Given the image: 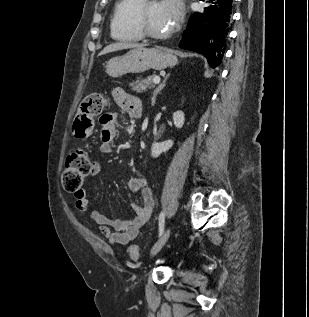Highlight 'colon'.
<instances>
[{
    "label": "colon",
    "mask_w": 309,
    "mask_h": 317,
    "mask_svg": "<svg viewBox=\"0 0 309 317\" xmlns=\"http://www.w3.org/2000/svg\"><path fill=\"white\" fill-rule=\"evenodd\" d=\"M107 103V98L101 93L89 94L82 100L73 122L74 133L77 137H85L91 132L94 126V118L105 110ZM91 170L92 161L87 152L82 149L74 150L66 159L62 174L63 188L67 192H79ZM129 251L133 259L139 258V251L136 246L132 245Z\"/></svg>",
    "instance_id": "5ec220e1"
}]
</instances>
